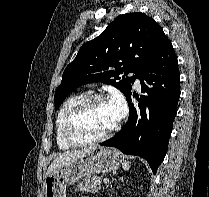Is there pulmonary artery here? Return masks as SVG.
I'll list each match as a JSON object with an SVG mask.
<instances>
[{
    "mask_svg": "<svg viewBox=\"0 0 209 197\" xmlns=\"http://www.w3.org/2000/svg\"><path fill=\"white\" fill-rule=\"evenodd\" d=\"M135 88L140 89V80L138 78L135 80Z\"/></svg>",
    "mask_w": 209,
    "mask_h": 197,
    "instance_id": "e3ab8cb5",
    "label": "pulmonary artery"
}]
</instances>
